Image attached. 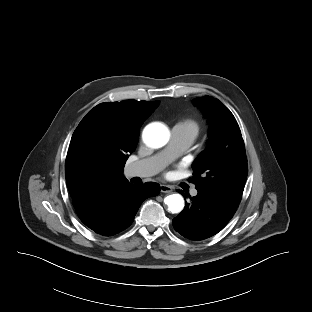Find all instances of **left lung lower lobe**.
<instances>
[{"instance_id": "obj_1", "label": "left lung lower lobe", "mask_w": 312, "mask_h": 312, "mask_svg": "<svg viewBox=\"0 0 312 312\" xmlns=\"http://www.w3.org/2000/svg\"><path fill=\"white\" fill-rule=\"evenodd\" d=\"M179 192L183 195V191ZM191 200L172 220L174 229L190 240H203L217 234L237 209L223 198L201 191Z\"/></svg>"}]
</instances>
